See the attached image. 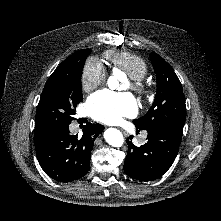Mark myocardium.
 Here are the masks:
<instances>
[{
  "mask_svg": "<svg viewBox=\"0 0 221 221\" xmlns=\"http://www.w3.org/2000/svg\"><path fill=\"white\" fill-rule=\"evenodd\" d=\"M130 88L140 97H145L149 93L147 84L143 80H133L130 81Z\"/></svg>",
  "mask_w": 221,
  "mask_h": 221,
  "instance_id": "obj_1",
  "label": "myocardium"
}]
</instances>
